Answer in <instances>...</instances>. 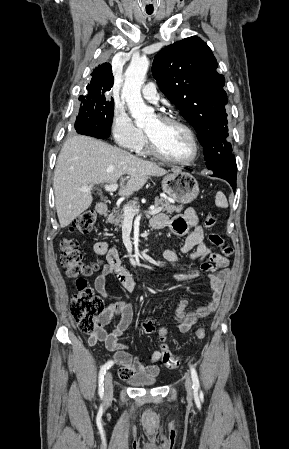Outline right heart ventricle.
<instances>
[{
	"label": "right heart ventricle",
	"mask_w": 289,
	"mask_h": 449,
	"mask_svg": "<svg viewBox=\"0 0 289 449\" xmlns=\"http://www.w3.org/2000/svg\"><path fill=\"white\" fill-rule=\"evenodd\" d=\"M139 151H141V152H145V151H146V150L144 149V144H143V146L140 148Z\"/></svg>",
	"instance_id": "obj_1"
}]
</instances>
